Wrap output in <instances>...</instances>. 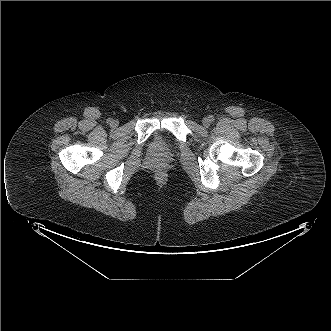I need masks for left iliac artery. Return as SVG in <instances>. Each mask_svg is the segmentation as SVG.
Segmentation results:
<instances>
[{
	"mask_svg": "<svg viewBox=\"0 0 331 331\" xmlns=\"http://www.w3.org/2000/svg\"><path fill=\"white\" fill-rule=\"evenodd\" d=\"M210 121L212 122L214 120L213 116H209Z\"/></svg>",
	"mask_w": 331,
	"mask_h": 331,
	"instance_id": "obj_1",
	"label": "left iliac artery"
}]
</instances>
